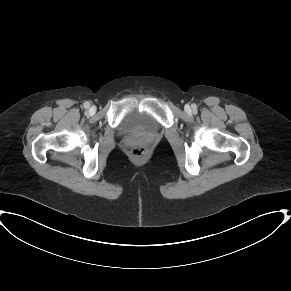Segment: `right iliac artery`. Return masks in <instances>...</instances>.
Returning a JSON list of instances; mask_svg holds the SVG:
<instances>
[{
  "instance_id": "82829eb1",
  "label": "right iliac artery",
  "mask_w": 291,
  "mask_h": 291,
  "mask_svg": "<svg viewBox=\"0 0 291 291\" xmlns=\"http://www.w3.org/2000/svg\"><path fill=\"white\" fill-rule=\"evenodd\" d=\"M89 106H90V104L88 103V102H85L84 103V107L87 109V108H89Z\"/></svg>"
}]
</instances>
